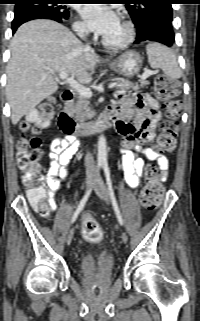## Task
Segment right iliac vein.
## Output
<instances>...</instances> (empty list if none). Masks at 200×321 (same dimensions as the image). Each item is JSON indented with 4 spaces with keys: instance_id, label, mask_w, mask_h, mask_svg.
Returning <instances> with one entry per match:
<instances>
[{
    "instance_id": "obj_1",
    "label": "right iliac vein",
    "mask_w": 200,
    "mask_h": 321,
    "mask_svg": "<svg viewBox=\"0 0 200 321\" xmlns=\"http://www.w3.org/2000/svg\"><path fill=\"white\" fill-rule=\"evenodd\" d=\"M93 181V175L90 174L86 178V184H85V191L87 192L92 184ZM74 235V228H71L67 234V243L69 244L73 238Z\"/></svg>"
}]
</instances>
